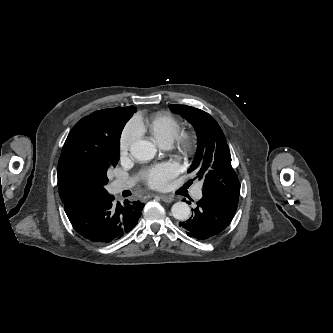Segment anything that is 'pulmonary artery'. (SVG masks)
I'll list each match as a JSON object with an SVG mask.
<instances>
[{"label":"pulmonary artery","mask_w":333,"mask_h":333,"mask_svg":"<svg viewBox=\"0 0 333 333\" xmlns=\"http://www.w3.org/2000/svg\"><path fill=\"white\" fill-rule=\"evenodd\" d=\"M170 144H165L163 145L164 148H170ZM132 186V182L128 181V180H122V179H118V180H114L111 184V189L113 193H120L125 189H128ZM194 197L196 199H200L202 197V193H201V185L198 184L195 187L194 190Z\"/></svg>","instance_id":"pulmonary-artery-1"}]
</instances>
